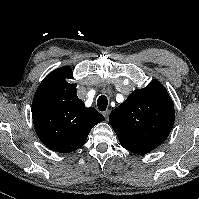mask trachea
<instances>
[{
	"label": "trachea",
	"mask_w": 199,
	"mask_h": 199,
	"mask_svg": "<svg viewBox=\"0 0 199 199\" xmlns=\"http://www.w3.org/2000/svg\"><path fill=\"white\" fill-rule=\"evenodd\" d=\"M97 106H98V109L100 111H105L107 106H108V100H107V97L104 96V95H101L98 100H97Z\"/></svg>",
	"instance_id": "obj_1"
}]
</instances>
